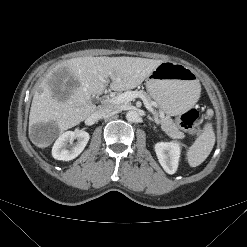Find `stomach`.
I'll return each mask as SVG.
<instances>
[{
  "label": "stomach",
  "mask_w": 247,
  "mask_h": 247,
  "mask_svg": "<svg viewBox=\"0 0 247 247\" xmlns=\"http://www.w3.org/2000/svg\"><path fill=\"white\" fill-rule=\"evenodd\" d=\"M146 89L168 115H180L198 101L200 83L188 67L170 61L160 63L146 79Z\"/></svg>",
  "instance_id": "1"
}]
</instances>
